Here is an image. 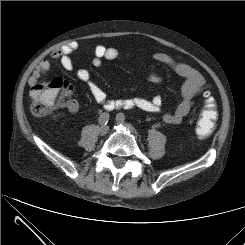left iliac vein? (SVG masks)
Listing matches in <instances>:
<instances>
[{
    "label": "left iliac vein",
    "instance_id": "obj_1",
    "mask_svg": "<svg viewBox=\"0 0 245 245\" xmlns=\"http://www.w3.org/2000/svg\"><path fill=\"white\" fill-rule=\"evenodd\" d=\"M116 122L117 124L123 125L124 127H126L128 130H133L132 126H130L129 124H125L124 120L119 118L118 116H116Z\"/></svg>",
    "mask_w": 245,
    "mask_h": 245
}]
</instances>
